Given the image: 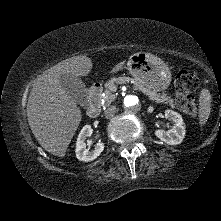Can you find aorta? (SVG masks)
<instances>
[{"label": "aorta", "instance_id": "762f6f07", "mask_svg": "<svg viewBox=\"0 0 221 221\" xmlns=\"http://www.w3.org/2000/svg\"><path fill=\"white\" fill-rule=\"evenodd\" d=\"M123 105L124 108L130 113L137 112L140 109V101L136 95H127L124 98Z\"/></svg>", "mask_w": 221, "mask_h": 221}]
</instances>
